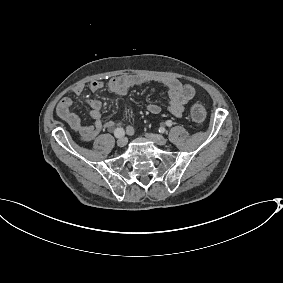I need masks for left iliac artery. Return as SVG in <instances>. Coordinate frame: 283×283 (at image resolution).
Segmentation results:
<instances>
[{"label": "left iliac artery", "instance_id": "left-iliac-artery-1", "mask_svg": "<svg viewBox=\"0 0 283 283\" xmlns=\"http://www.w3.org/2000/svg\"><path fill=\"white\" fill-rule=\"evenodd\" d=\"M172 121L171 120H167L166 121V125L168 126V127H171L172 126ZM160 132H164V128H160V130H159Z\"/></svg>", "mask_w": 283, "mask_h": 283}]
</instances>
